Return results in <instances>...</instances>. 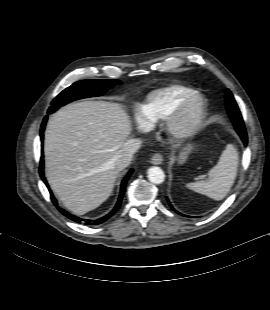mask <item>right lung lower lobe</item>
I'll return each mask as SVG.
<instances>
[{
	"mask_svg": "<svg viewBox=\"0 0 270 310\" xmlns=\"http://www.w3.org/2000/svg\"><path fill=\"white\" fill-rule=\"evenodd\" d=\"M46 121H47V116L44 117L43 119V122H42V125H41V130H40V137H41V141L43 142V132H44V129H45V125H46ZM43 155V153H42ZM43 156H41V161H40V176L42 178V180L44 181V183L46 184V186L49 188L48 184H47V181L44 177V172H43V168H44V165H43ZM133 170L131 169L129 171V173L127 174V176L123 179L122 181V184H121V191H120V195H119V198H118V201L116 203V206L114 207V209L108 213L107 215L99 218V219H96V220H87V219H81L79 217H76L74 215H71L69 214L68 212H66L65 210L61 209L60 207L57 206V201L56 199L54 198L51 190L49 189L50 191V195H51V199L53 201V203L57 206L58 210L64 214L65 216H67L69 219L77 222V223H84L86 225H98V224H101L103 222H105L106 220H108L110 217H112L117 211L118 209L120 208V205H121V201H122V198H123V194L125 192V187H126V183L130 177V175L132 174Z\"/></svg>",
	"mask_w": 270,
	"mask_h": 310,
	"instance_id": "98d812e1",
	"label": "right lung lower lobe"
}]
</instances>
